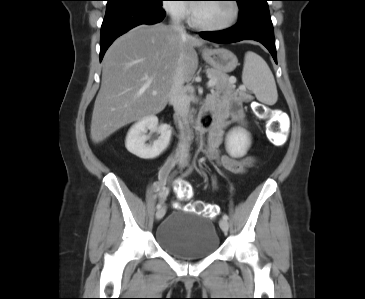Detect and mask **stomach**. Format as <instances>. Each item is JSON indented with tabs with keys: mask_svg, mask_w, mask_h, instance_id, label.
<instances>
[{
	"mask_svg": "<svg viewBox=\"0 0 365 299\" xmlns=\"http://www.w3.org/2000/svg\"><path fill=\"white\" fill-rule=\"evenodd\" d=\"M202 56L213 69L222 73L231 72L238 65L236 55L224 48L205 49Z\"/></svg>",
	"mask_w": 365,
	"mask_h": 299,
	"instance_id": "1",
	"label": "stomach"
}]
</instances>
